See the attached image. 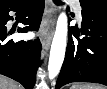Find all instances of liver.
Masks as SVG:
<instances>
[{"mask_svg": "<svg viewBox=\"0 0 107 89\" xmlns=\"http://www.w3.org/2000/svg\"><path fill=\"white\" fill-rule=\"evenodd\" d=\"M0 89H21L14 81L1 77L0 79Z\"/></svg>", "mask_w": 107, "mask_h": 89, "instance_id": "6515ba94", "label": "liver"}]
</instances>
